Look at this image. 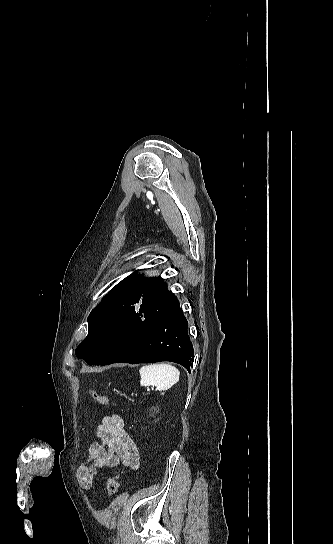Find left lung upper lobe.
Wrapping results in <instances>:
<instances>
[{"instance_id": "obj_1", "label": "left lung upper lobe", "mask_w": 333, "mask_h": 544, "mask_svg": "<svg viewBox=\"0 0 333 544\" xmlns=\"http://www.w3.org/2000/svg\"><path fill=\"white\" fill-rule=\"evenodd\" d=\"M178 302L167 290L162 278H145L133 273L119 282L92 310L88 317L89 333L75 350L78 358L89 365L102 359L101 348L95 332L109 319H122L137 323H150L158 319Z\"/></svg>"}]
</instances>
